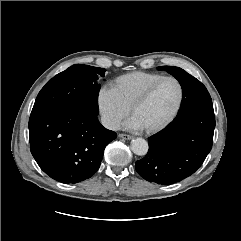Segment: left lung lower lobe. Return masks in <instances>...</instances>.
<instances>
[{"mask_svg":"<svg viewBox=\"0 0 241 241\" xmlns=\"http://www.w3.org/2000/svg\"><path fill=\"white\" fill-rule=\"evenodd\" d=\"M214 128L213 107L176 117L167 128L148 139L149 151L136 161L137 172L145 180L162 185L189 177L210 152Z\"/></svg>","mask_w":241,"mask_h":241,"instance_id":"1","label":"left lung lower lobe"}]
</instances>
